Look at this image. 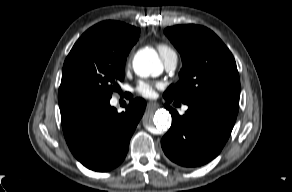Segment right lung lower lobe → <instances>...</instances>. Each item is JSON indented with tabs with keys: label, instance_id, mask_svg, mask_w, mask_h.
Listing matches in <instances>:
<instances>
[{
	"label": "right lung lower lobe",
	"instance_id": "1",
	"mask_svg": "<svg viewBox=\"0 0 292 192\" xmlns=\"http://www.w3.org/2000/svg\"><path fill=\"white\" fill-rule=\"evenodd\" d=\"M63 133L72 154L87 168L105 172L125 158L130 138L146 103L133 99L118 113L103 99L89 94L64 93L58 96Z\"/></svg>",
	"mask_w": 292,
	"mask_h": 192
}]
</instances>
